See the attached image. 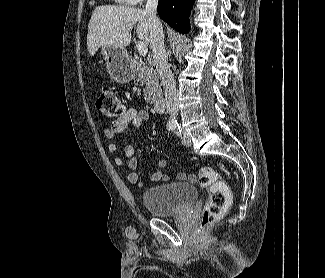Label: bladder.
<instances>
[{
	"instance_id": "1",
	"label": "bladder",
	"mask_w": 325,
	"mask_h": 278,
	"mask_svg": "<svg viewBox=\"0 0 325 278\" xmlns=\"http://www.w3.org/2000/svg\"><path fill=\"white\" fill-rule=\"evenodd\" d=\"M197 189L191 183L173 182L152 186L142 194V203L154 217L183 212L197 200Z\"/></svg>"
}]
</instances>
